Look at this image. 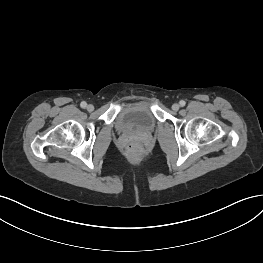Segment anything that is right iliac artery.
<instances>
[{
  "label": "right iliac artery",
  "instance_id": "obj_1",
  "mask_svg": "<svg viewBox=\"0 0 263 263\" xmlns=\"http://www.w3.org/2000/svg\"><path fill=\"white\" fill-rule=\"evenodd\" d=\"M80 106H81L82 108H86L87 103H86L85 101H83V102H81Z\"/></svg>",
  "mask_w": 263,
  "mask_h": 263
}]
</instances>
